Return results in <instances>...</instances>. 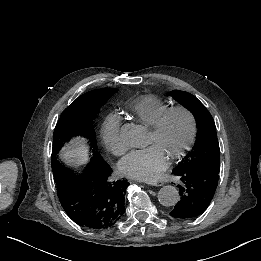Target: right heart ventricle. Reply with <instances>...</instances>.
Listing matches in <instances>:
<instances>
[{"mask_svg": "<svg viewBox=\"0 0 261 261\" xmlns=\"http://www.w3.org/2000/svg\"><path fill=\"white\" fill-rule=\"evenodd\" d=\"M122 105L126 111L147 126L151 124L161 112L169 107L166 100L153 94H144L128 98L123 101Z\"/></svg>", "mask_w": 261, "mask_h": 261, "instance_id": "right-heart-ventricle-1", "label": "right heart ventricle"}]
</instances>
